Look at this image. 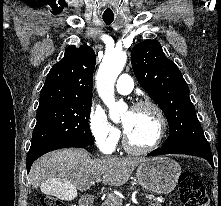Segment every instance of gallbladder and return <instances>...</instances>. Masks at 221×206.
Segmentation results:
<instances>
[{
  "mask_svg": "<svg viewBox=\"0 0 221 206\" xmlns=\"http://www.w3.org/2000/svg\"><path fill=\"white\" fill-rule=\"evenodd\" d=\"M39 190H43V194H52V198H61L62 202H71L72 198H78L77 189L70 185V181H42Z\"/></svg>",
  "mask_w": 221,
  "mask_h": 206,
  "instance_id": "bac80fb5",
  "label": "gallbladder"
}]
</instances>
